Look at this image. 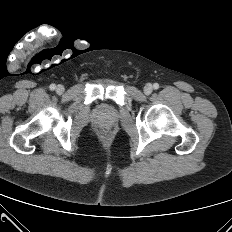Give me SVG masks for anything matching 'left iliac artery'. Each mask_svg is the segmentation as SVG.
Wrapping results in <instances>:
<instances>
[{
    "label": "left iliac artery",
    "instance_id": "1",
    "mask_svg": "<svg viewBox=\"0 0 232 232\" xmlns=\"http://www.w3.org/2000/svg\"><path fill=\"white\" fill-rule=\"evenodd\" d=\"M153 87H154V89H158L159 88V84L158 83H154Z\"/></svg>",
    "mask_w": 232,
    "mask_h": 232
}]
</instances>
